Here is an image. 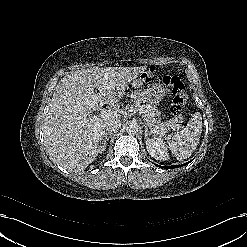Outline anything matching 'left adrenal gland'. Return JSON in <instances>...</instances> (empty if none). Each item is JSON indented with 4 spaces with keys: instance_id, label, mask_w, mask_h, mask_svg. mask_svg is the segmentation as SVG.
Instances as JSON below:
<instances>
[{
    "instance_id": "left-adrenal-gland-1",
    "label": "left adrenal gland",
    "mask_w": 247,
    "mask_h": 247,
    "mask_svg": "<svg viewBox=\"0 0 247 247\" xmlns=\"http://www.w3.org/2000/svg\"><path fill=\"white\" fill-rule=\"evenodd\" d=\"M143 127L145 129V139H147L148 135H150L152 133V131L149 130V128L146 124H143Z\"/></svg>"
}]
</instances>
